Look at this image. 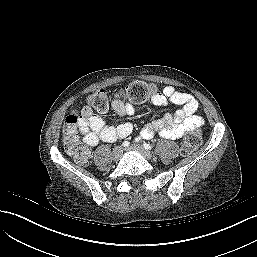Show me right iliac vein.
I'll use <instances>...</instances> for the list:
<instances>
[{"mask_svg": "<svg viewBox=\"0 0 257 257\" xmlns=\"http://www.w3.org/2000/svg\"><path fill=\"white\" fill-rule=\"evenodd\" d=\"M123 150L122 147H115L112 151V157L114 160H119L122 156Z\"/></svg>", "mask_w": 257, "mask_h": 257, "instance_id": "63e3f726", "label": "right iliac vein"}]
</instances>
